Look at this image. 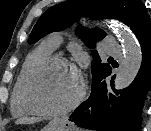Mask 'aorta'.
Segmentation results:
<instances>
[{
  "mask_svg": "<svg viewBox=\"0 0 151 131\" xmlns=\"http://www.w3.org/2000/svg\"><path fill=\"white\" fill-rule=\"evenodd\" d=\"M112 28L122 44L124 53V59L114 80L115 88L120 90L128 87L136 78L142 63V51L127 27L114 24Z\"/></svg>",
  "mask_w": 151,
  "mask_h": 131,
  "instance_id": "aorta-1",
  "label": "aorta"
}]
</instances>
